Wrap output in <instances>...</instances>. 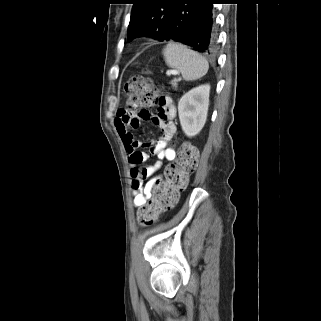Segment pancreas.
I'll use <instances>...</instances> for the list:
<instances>
[{"label":"pancreas","mask_w":321,"mask_h":321,"mask_svg":"<svg viewBox=\"0 0 321 321\" xmlns=\"http://www.w3.org/2000/svg\"><path fill=\"white\" fill-rule=\"evenodd\" d=\"M171 84H172V86H173L174 88L177 87V81H176V80L171 81Z\"/></svg>","instance_id":"pancreas-1"}]
</instances>
